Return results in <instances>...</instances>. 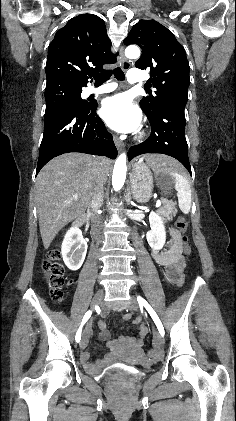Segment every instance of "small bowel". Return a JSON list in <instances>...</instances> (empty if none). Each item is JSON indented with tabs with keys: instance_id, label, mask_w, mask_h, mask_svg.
Returning a JSON list of instances; mask_svg holds the SVG:
<instances>
[{
	"instance_id": "1",
	"label": "small bowel",
	"mask_w": 236,
	"mask_h": 421,
	"mask_svg": "<svg viewBox=\"0 0 236 421\" xmlns=\"http://www.w3.org/2000/svg\"><path fill=\"white\" fill-rule=\"evenodd\" d=\"M170 235H171V238H172V245H175V247H177V249L179 251H181V244L182 243H181L180 233L176 229H170ZM102 327H104L103 324H102ZM140 332H141V335L144 336L147 333L146 327L145 326H141ZM83 356H87L89 358V354L88 353H84L82 355V357Z\"/></svg>"
}]
</instances>
